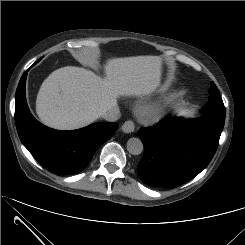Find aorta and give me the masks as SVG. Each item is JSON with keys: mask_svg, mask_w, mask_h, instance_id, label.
<instances>
[{"mask_svg": "<svg viewBox=\"0 0 245 245\" xmlns=\"http://www.w3.org/2000/svg\"><path fill=\"white\" fill-rule=\"evenodd\" d=\"M144 149L143 143L139 138H130L127 141V150L132 155H139Z\"/></svg>", "mask_w": 245, "mask_h": 245, "instance_id": "762f6f07", "label": "aorta"}]
</instances>
